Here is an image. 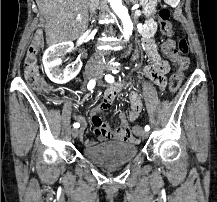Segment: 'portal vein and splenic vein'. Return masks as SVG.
Returning a JSON list of instances; mask_svg holds the SVG:
<instances>
[{
	"mask_svg": "<svg viewBox=\"0 0 217 202\" xmlns=\"http://www.w3.org/2000/svg\"><path fill=\"white\" fill-rule=\"evenodd\" d=\"M76 20H82V18H80V14H78V18H76Z\"/></svg>",
	"mask_w": 217,
	"mask_h": 202,
	"instance_id": "1",
	"label": "portal vein and splenic vein"
}]
</instances>
